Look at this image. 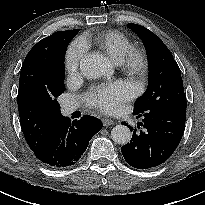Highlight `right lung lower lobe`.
Here are the masks:
<instances>
[{
  "mask_svg": "<svg viewBox=\"0 0 205 205\" xmlns=\"http://www.w3.org/2000/svg\"><path fill=\"white\" fill-rule=\"evenodd\" d=\"M101 122L83 116L73 121L61 116L49 126L30 148L35 156L54 168H67L76 164L87 149L90 139L100 131Z\"/></svg>",
  "mask_w": 205,
  "mask_h": 205,
  "instance_id": "obj_1",
  "label": "right lung lower lobe"
}]
</instances>
